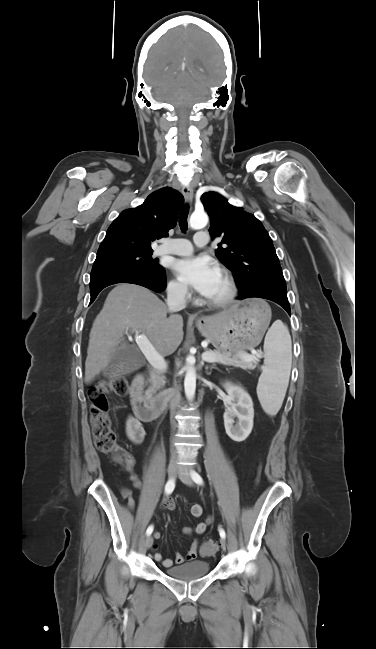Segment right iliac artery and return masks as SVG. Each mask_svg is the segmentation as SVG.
<instances>
[{"label": "right iliac artery", "mask_w": 376, "mask_h": 649, "mask_svg": "<svg viewBox=\"0 0 376 649\" xmlns=\"http://www.w3.org/2000/svg\"><path fill=\"white\" fill-rule=\"evenodd\" d=\"M174 488H175V480L174 479L168 480V482L165 485V493L167 495L171 494L173 492ZM152 532H153V526L150 525L147 528L146 535L149 536V535H151Z\"/></svg>", "instance_id": "82829eb1"}]
</instances>
